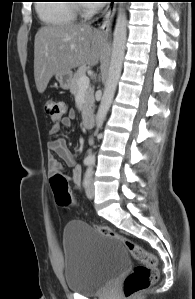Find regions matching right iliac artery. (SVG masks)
Listing matches in <instances>:
<instances>
[{
  "label": "right iliac artery",
  "instance_id": "right-iliac-artery-1",
  "mask_svg": "<svg viewBox=\"0 0 195 299\" xmlns=\"http://www.w3.org/2000/svg\"><path fill=\"white\" fill-rule=\"evenodd\" d=\"M91 164V160L89 159H84V165L89 166Z\"/></svg>",
  "mask_w": 195,
  "mask_h": 299
}]
</instances>
